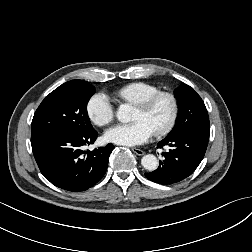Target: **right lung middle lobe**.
<instances>
[{"mask_svg": "<svg viewBox=\"0 0 252 252\" xmlns=\"http://www.w3.org/2000/svg\"><path fill=\"white\" fill-rule=\"evenodd\" d=\"M95 87L83 80L68 81L45 97L32 120L35 133H87L94 130L87 103Z\"/></svg>", "mask_w": 252, "mask_h": 252, "instance_id": "obj_1", "label": "right lung middle lobe"}]
</instances>
